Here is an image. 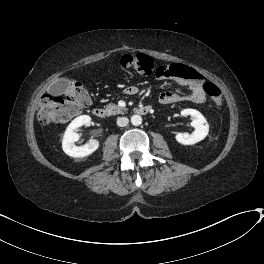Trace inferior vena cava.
Masks as SVG:
<instances>
[{"label":"inferior vena cava","instance_id":"obj_1","mask_svg":"<svg viewBox=\"0 0 264 264\" xmlns=\"http://www.w3.org/2000/svg\"><path fill=\"white\" fill-rule=\"evenodd\" d=\"M129 123V119L127 117H118L117 118V125L120 127L127 126Z\"/></svg>","mask_w":264,"mask_h":264}]
</instances>
